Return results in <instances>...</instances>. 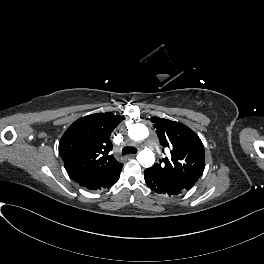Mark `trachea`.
I'll use <instances>...</instances> for the list:
<instances>
[{
    "mask_svg": "<svg viewBox=\"0 0 264 264\" xmlns=\"http://www.w3.org/2000/svg\"><path fill=\"white\" fill-rule=\"evenodd\" d=\"M136 152H137L136 148L128 147V146L124 147L123 150H122V154L123 155L130 154V153L135 154Z\"/></svg>",
    "mask_w": 264,
    "mask_h": 264,
    "instance_id": "1",
    "label": "trachea"
}]
</instances>
